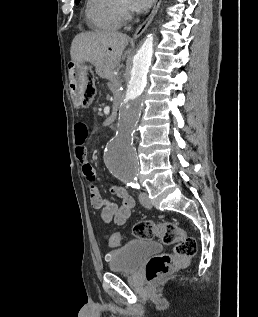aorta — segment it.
Returning a JSON list of instances; mask_svg holds the SVG:
<instances>
[{
    "label": "aorta",
    "instance_id": "1",
    "mask_svg": "<svg viewBox=\"0 0 258 317\" xmlns=\"http://www.w3.org/2000/svg\"><path fill=\"white\" fill-rule=\"evenodd\" d=\"M153 56V36L149 35L134 56L130 80L120 106L117 132L105 152L110 172L121 180H134L139 172V160L133 146V134L142 109V93Z\"/></svg>",
    "mask_w": 258,
    "mask_h": 317
}]
</instances>
